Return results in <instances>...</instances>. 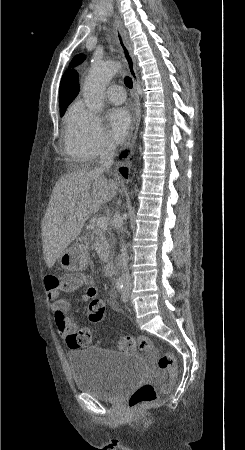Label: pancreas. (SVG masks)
Instances as JSON below:
<instances>
[{"mask_svg":"<svg viewBox=\"0 0 245 450\" xmlns=\"http://www.w3.org/2000/svg\"><path fill=\"white\" fill-rule=\"evenodd\" d=\"M107 230L95 228L91 234V241L95 240V242L91 243V247L95 249L98 256L103 262L109 261V254L112 248V239L106 238Z\"/></svg>","mask_w":245,"mask_h":450,"instance_id":"1","label":"pancreas"}]
</instances>
